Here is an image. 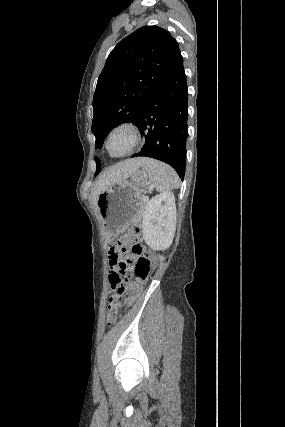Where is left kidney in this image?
<instances>
[{
	"label": "left kidney",
	"instance_id": "left-kidney-1",
	"mask_svg": "<svg viewBox=\"0 0 285 427\" xmlns=\"http://www.w3.org/2000/svg\"><path fill=\"white\" fill-rule=\"evenodd\" d=\"M145 243L154 251L172 244L176 230L175 197L171 192L158 194L147 203L142 221Z\"/></svg>",
	"mask_w": 285,
	"mask_h": 427
}]
</instances>
